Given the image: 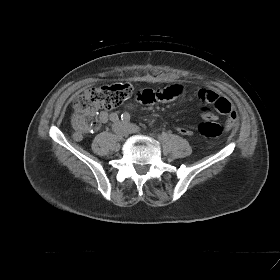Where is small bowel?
<instances>
[{"label":"small bowel","mask_w":280,"mask_h":280,"mask_svg":"<svg viewBox=\"0 0 280 280\" xmlns=\"http://www.w3.org/2000/svg\"><path fill=\"white\" fill-rule=\"evenodd\" d=\"M184 91V88L180 84H173L163 89H143L137 93V100L142 104H156L164 103L179 97ZM198 97L207 104L213 105L216 111L220 114L227 115L226 128L230 129L237 124V114L232 104L224 97H221L213 90L202 89L198 92ZM202 118L205 120H216L217 115L212 112L209 108H203L201 111ZM109 114L106 111H102L99 114V121L106 123L109 119ZM74 134L73 137L76 141H81L84 134L89 130L83 124L80 115L75 114L73 117ZM177 131L186 136L192 135L193 131L190 128L182 126L177 127Z\"/></svg>","instance_id":"1"}]
</instances>
